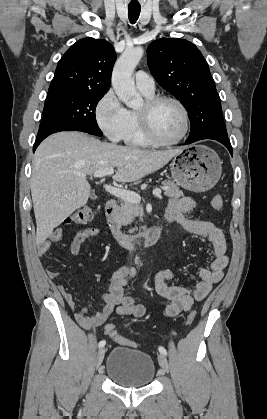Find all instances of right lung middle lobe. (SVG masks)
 Here are the masks:
<instances>
[{"label":"right lung middle lobe","mask_w":267,"mask_h":419,"mask_svg":"<svg viewBox=\"0 0 267 419\" xmlns=\"http://www.w3.org/2000/svg\"><path fill=\"white\" fill-rule=\"evenodd\" d=\"M106 94L98 92L62 91L48 93L43 118L68 124L89 134L102 136L95 117V109Z\"/></svg>","instance_id":"1"}]
</instances>
